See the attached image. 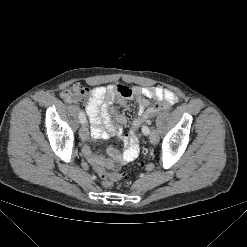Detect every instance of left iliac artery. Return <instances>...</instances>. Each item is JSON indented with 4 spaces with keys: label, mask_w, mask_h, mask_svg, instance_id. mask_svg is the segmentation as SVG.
<instances>
[{
    "label": "left iliac artery",
    "mask_w": 247,
    "mask_h": 247,
    "mask_svg": "<svg viewBox=\"0 0 247 247\" xmlns=\"http://www.w3.org/2000/svg\"><path fill=\"white\" fill-rule=\"evenodd\" d=\"M142 131L144 132L145 135H148L150 133V129L147 126L145 128H142Z\"/></svg>",
    "instance_id": "left-iliac-artery-1"
}]
</instances>
